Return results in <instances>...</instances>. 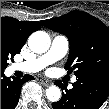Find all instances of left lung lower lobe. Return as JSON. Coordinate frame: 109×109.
<instances>
[{
  "label": "left lung lower lobe",
  "mask_w": 109,
  "mask_h": 109,
  "mask_svg": "<svg viewBox=\"0 0 109 109\" xmlns=\"http://www.w3.org/2000/svg\"><path fill=\"white\" fill-rule=\"evenodd\" d=\"M73 88L62 90L60 101L52 103L53 109H99L109 96V77L101 74H84L76 77Z\"/></svg>",
  "instance_id": "0a47b994"
}]
</instances>
